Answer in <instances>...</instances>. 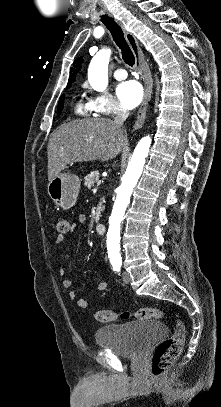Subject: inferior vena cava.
<instances>
[{
    "label": "inferior vena cava",
    "mask_w": 221,
    "mask_h": 407,
    "mask_svg": "<svg viewBox=\"0 0 221 407\" xmlns=\"http://www.w3.org/2000/svg\"><path fill=\"white\" fill-rule=\"evenodd\" d=\"M129 111L123 108L122 106H118L117 115L114 118V123L121 127L124 121L128 118Z\"/></svg>",
    "instance_id": "1"
}]
</instances>
